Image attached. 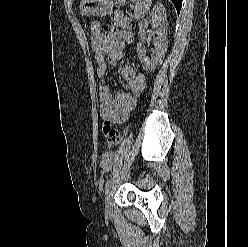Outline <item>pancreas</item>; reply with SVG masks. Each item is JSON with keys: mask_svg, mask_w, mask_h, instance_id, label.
Returning <instances> with one entry per match:
<instances>
[{"mask_svg": "<svg viewBox=\"0 0 248 247\" xmlns=\"http://www.w3.org/2000/svg\"><path fill=\"white\" fill-rule=\"evenodd\" d=\"M112 22H114L115 25L122 27V28L129 27V19L127 17H124L123 15H118L112 18Z\"/></svg>", "mask_w": 248, "mask_h": 247, "instance_id": "pancreas-1", "label": "pancreas"}]
</instances>
